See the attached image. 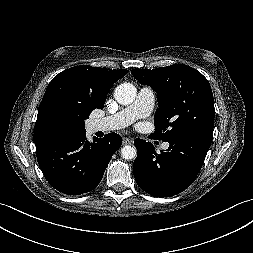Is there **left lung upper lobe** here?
<instances>
[{
	"label": "left lung upper lobe",
	"instance_id": "5c2ea615",
	"mask_svg": "<svg viewBox=\"0 0 253 253\" xmlns=\"http://www.w3.org/2000/svg\"><path fill=\"white\" fill-rule=\"evenodd\" d=\"M133 76L158 94L153 137L175 142L190 137L212 140L214 99L208 80L184 65L156 69H133Z\"/></svg>",
	"mask_w": 253,
	"mask_h": 253
}]
</instances>
